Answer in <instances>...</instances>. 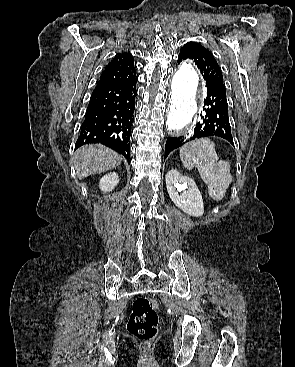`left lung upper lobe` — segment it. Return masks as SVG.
Masks as SVG:
<instances>
[{"instance_id":"left-lung-upper-lobe-1","label":"left lung upper lobe","mask_w":295,"mask_h":367,"mask_svg":"<svg viewBox=\"0 0 295 367\" xmlns=\"http://www.w3.org/2000/svg\"><path fill=\"white\" fill-rule=\"evenodd\" d=\"M191 59L195 62L203 78L224 83L221 69L210 51L197 42H188L181 49L178 61Z\"/></svg>"}]
</instances>
